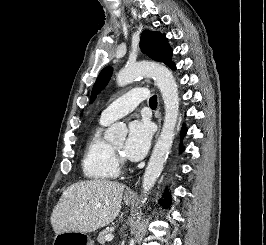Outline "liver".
<instances>
[{
	"mask_svg": "<svg viewBox=\"0 0 266 245\" xmlns=\"http://www.w3.org/2000/svg\"><path fill=\"white\" fill-rule=\"evenodd\" d=\"M124 189L122 183L99 179L73 183L52 211L54 233H93L107 227L121 211Z\"/></svg>",
	"mask_w": 266,
	"mask_h": 245,
	"instance_id": "obj_1",
	"label": "liver"
}]
</instances>
